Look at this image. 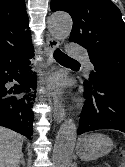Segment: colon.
Listing matches in <instances>:
<instances>
[{
    "label": "colon",
    "mask_w": 125,
    "mask_h": 167,
    "mask_svg": "<svg viewBox=\"0 0 125 167\" xmlns=\"http://www.w3.org/2000/svg\"><path fill=\"white\" fill-rule=\"evenodd\" d=\"M123 157H124V159H125V152H124V154H123ZM121 167H125V162H124V164H122Z\"/></svg>",
    "instance_id": "colon-1"
}]
</instances>
